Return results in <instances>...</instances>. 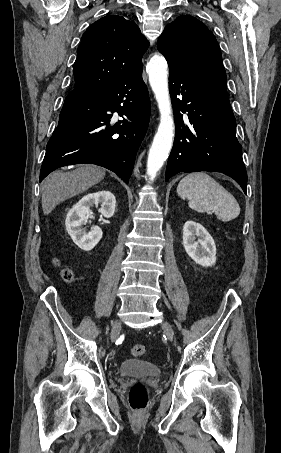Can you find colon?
I'll return each mask as SVG.
<instances>
[{"instance_id": "colon-1", "label": "colon", "mask_w": 281, "mask_h": 453, "mask_svg": "<svg viewBox=\"0 0 281 453\" xmlns=\"http://www.w3.org/2000/svg\"><path fill=\"white\" fill-rule=\"evenodd\" d=\"M52 264L57 265L58 260L52 259ZM62 277L66 281H73L74 274L71 271H64ZM131 353L134 358H144L148 354V350L145 345H134L131 348ZM129 407L133 412H143L147 407V394L145 386L142 382H135L131 385L128 392Z\"/></svg>"}]
</instances>
